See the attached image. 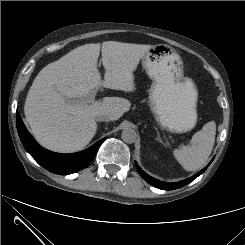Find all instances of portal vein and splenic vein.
Segmentation results:
<instances>
[{
  "mask_svg": "<svg viewBox=\"0 0 245 245\" xmlns=\"http://www.w3.org/2000/svg\"><path fill=\"white\" fill-rule=\"evenodd\" d=\"M95 96H96V92L93 91L90 94H88V96L86 98L73 99L72 102L73 103H76V104H80V103H94L96 101Z\"/></svg>",
  "mask_w": 245,
  "mask_h": 245,
  "instance_id": "18ae733b",
  "label": "portal vein and splenic vein"
}]
</instances>
